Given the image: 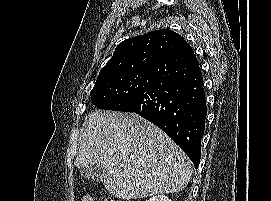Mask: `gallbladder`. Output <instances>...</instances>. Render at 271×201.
<instances>
[{
	"mask_svg": "<svg viewBox=\"0 0 271 201\" xmlns=\"http://www.w3.org/2000/svg\"><path fill=\"white\" fill-rule=\"evenodd\" d=\"M79 171L83 178L92 180L95 182H102L106 175V170L101 164H95V165H90L88 167H83Z\"/></svg>",
	"mask_w": 271,
	"mask_h": 201,
	"instance_id": "obj_1",
	"label": "gallbladder"
}]
</instances>
